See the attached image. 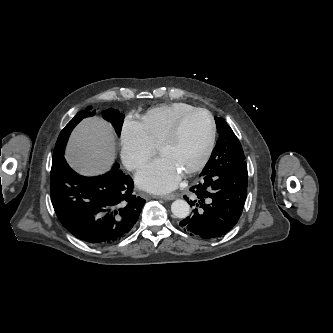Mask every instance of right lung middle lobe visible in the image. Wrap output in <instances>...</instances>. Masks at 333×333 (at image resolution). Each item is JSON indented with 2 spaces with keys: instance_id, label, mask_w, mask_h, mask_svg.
I'll use <instances>...</instances> for the list:
<instances>
[{
  "instance_id": "dd1d6c3e",
  "label": "right lung middle lobe",
  "mask_w": 333,
  "mask_h": 333,
  "mask_svg": "<svg viewBox=\"0 0 333 333\" xmlns=\"http://www.w3.org/2000/svg\"><path fill=\"white\" fill-rule=\"evenodd\" d=\"M104 119L110 121L114 126L118 136L121 133V128L123 124L124 116L119 113L118 110L108 109L102 112ZM94 113L91 112V107H87L86 111H80L76 116L66 125V127L61 131L58 140L56 142L53 157L63 155L65 145L69 138V135L73 128L84 118L93 116Z\"/></svg>"
}]
</instances>
